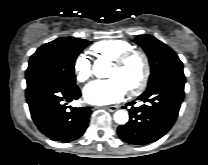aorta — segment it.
<instances>
[{"label": "aorta", "instance_id": "1", "mask_svg": "<svg viewBox=\"0 0 208 165\" xmlns=\"http://www.w3.org/2000/svg\"><path fill=\"white\" fill-rule=\"evenodd\" d=\"M108 68H109V63L105 59L100 58L96 60L94 63L93 73L96 77L103 78ZM114 120L119 125L126 124L129 120L128 112L125 110L116 111L114 114Z\"/></svg>", "mask_w": 208, "mask_h": 165}]
</instances>
